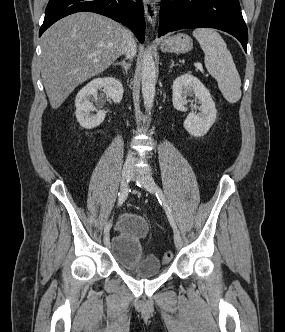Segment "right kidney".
<instances>
[{"label":"right kidney","instance_id":"1","mask_svg":"<svg viewBox=\"0 0 285 332\" xmlns=\"http://www.w3.org/2000/svg\"><path fill=\"white\" fill-rule=\"evenodd\" d=\"M98 90L103 91L114 103H120L123 97L122 83L114 77L96 78L84 86L75 99V115L81 127L85 129L95 128L104 121V110L97 111L95 115L91 113L96 111V108L90 102V97H96Z\"/></svg>","mask_w":285,"mask_h":332}]
</instances>
